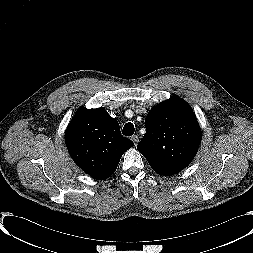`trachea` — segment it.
Returning <instances> with one entry per match:
<instances>
[{
	"mask_svg": "<svg viewBox=\"0 0 253 253\" xmlns=\"http://www.w3.org/2000/svg\"><path fill=\"white\" fill-rule=\"evenodd\" d=\"M134 125L132 123H126L125 126L123 127L122 133L125 136H132L134 134Z\"/></svg>",
	"mask_w": 253,
	"mask_h": 253,
	"instance_id": "1",
	"label": "trachea"
}]
</instances>
